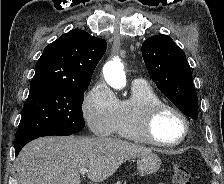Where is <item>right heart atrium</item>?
<instances>
[{
    "label": "right heart atrium",
    "mask_w": 224,
    "mask_h": 184,
    "mask_svg": "<svg viewBox=\"0 0 224 184\" xmlns=\"http://www.w3.org/2000/svg\"><path fill=\"white\" fill-rule=\"evenodd\" d=\"M117 106L118 99L105 82H97L88 91L82 103V113L95 135L108 136L113 132Z\"/></svg>",
    "instance_id": "1"
}]
</instances>
